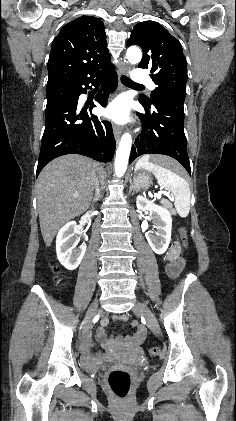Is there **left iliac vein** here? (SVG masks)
Listing matches in <instances>:
<instances>
[{
    "label": "left iliac vein",
    "instance_id": "obj_1",
    "mask_svg": "<svg viewBox=\"0 0 236 421\" xmlns=\"http://www.w3.org/2000/svg\"><path fill=\"white\" fill-rule=\"evenodd\" d=\"M133 312L136 315H143L144 318L146 319L149 328L152 330V332L155 335H159L160 334V328H159V324L154 316V314L152 313V311L150 310V308L147 306L146 303H142L140 301H135V306L133 308Z\"/></svg>",
    "mask_w": 236,
    "mask_h": 421
}]
</instances>
